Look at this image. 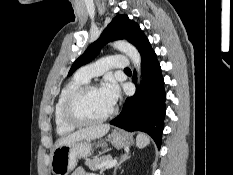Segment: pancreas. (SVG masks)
I'll return each instance as SVG.
<instances>
[{
    "instance_id": "pancreas-1",
    "label": "pancreas",
    "mask_w": 233,
    "mask_h": 175,
    "mask_svg": "<svg viewBox=\"0 0 233 175\" xmlns=\"http://www.w3.org/2000/svg\"><path fill=\"white\" fill-rule=\"evenodd\" d=\"M112 160L110 155L94 157L92 160H86L85 165L91 170H104V165Z\"/></svg>"
}]
</instances>
